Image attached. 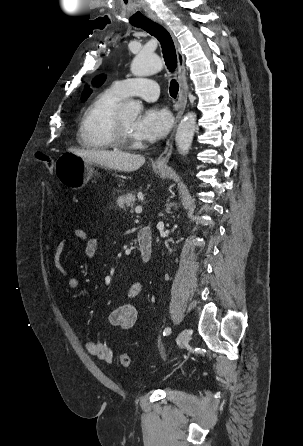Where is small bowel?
Wrapping results in <instances>:
<instances>
[{"label":"small bowel","mask_w":303,"mask_h":446,"mask_svg":"<svg viewBox=\"0 0 303 446\" xmlns=\"http://www.w3.org/2000/svg\"><path fill=\"white\" fill-rule=\"evenodd\" d=\"M72 240L85 243V253L88 257H93L97 249V240L88 236L86 231L82 228H75L72 232ZM69 239H64L58 243L54 252V266L59 276L62 279L63 290H74L79 288L80 281L76 277L68 276L67 270L64 267L61 257L65 251ZM142 289V285L139 282L134 283L129 295L130 297L137 296ZM137 309L132 304H124L115 308L109 315V321L112 325L118 326L122 329H130L137 321ZM77 319V317H75ZM86 350L89 354L103 360L107 363H111L114 358L111 348L100 342L87 341L85 344Z\"/></svg>","instance_id":"small-bowel-1"}]
</instances>
